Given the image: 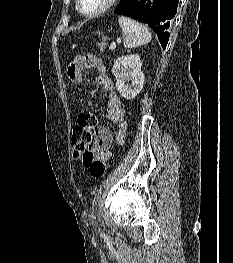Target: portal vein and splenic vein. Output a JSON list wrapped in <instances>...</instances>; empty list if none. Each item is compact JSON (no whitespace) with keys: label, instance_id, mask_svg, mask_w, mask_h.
Segmentation results:
<instances>
[{"label":"portal vein and splenic vein","instance_id":"obj_1","mask_svg":"<svg viewBox=\"0 0 233 263\" xmlns=\"http://www.w3.org/2000/svg\"><path fill=\"white\" fill-rule=\"evenodd\" d=\"M115 47H116V43H115V42H112V43L110 44L109 49H110V50H113V49H115Z\"/></svg>","mask_w":233,"mask_h":263}]
</instances>
